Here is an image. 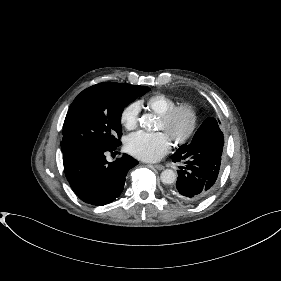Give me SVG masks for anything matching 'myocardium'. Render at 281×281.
<instances>
[{
  "label": "myocardium",
  "mask_w": 281,
  "mask_h": 281,
  "mask_svg": "<svg viewBox=\"0 0 281 281\" xmlns=\"http://www.w3.org/2000/svg\"><path fill=\"white\" fill-rule=\"evenodd\" d=\"M179 114H186L189 118V124L184 133L174 138V145L180 146L189 141L194 135L198 125V114L196 108L190 103L175 105L173 108L159 116L164 124H169Z\"/></svg>",
  "instance_id": "obj_1"
}]
</instances>
